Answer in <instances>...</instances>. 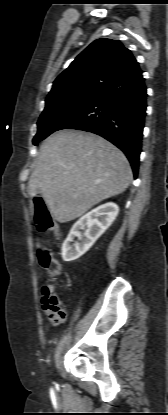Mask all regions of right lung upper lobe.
<instances>
[{
    "mask_svg": "<svg viewBox=\"0 0 168 415\" xmlns=\"http://www.w3.org/2000/svg\"><path fill=\"white\" fill-rule=\"evenodd\" d=\"M137 65L131 51L120 41L97 39L56 78L46 101L79 90L103 91Z\"/></svg>",
    "mask_w": 168,
    "mask_h": 415,
    "instance_id": "obj_1",
    "label": "right lung upper lobe"
}]
</instances>
